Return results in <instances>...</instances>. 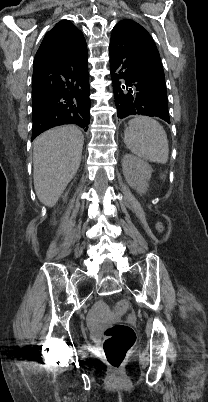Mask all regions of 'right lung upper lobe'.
Segmentation results:
<instances>
[{
	"label": "right lung upper lobe",
	"instance_id": "1",
	"mask_svg": "<svg viewBox=\"0 0 208 402\" xmlns=\"http://www.w3.org/2000/svg\"><path fill=\"white\" fill-rule=\"evenodd\" d=\"M83 38L82 32L70 21L61 20L45 35L35 59L63 53L75 47Z\"/></svg>",
	"mask_w": 208,
	"mask_h": 402
}]
</instances>
